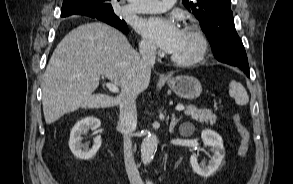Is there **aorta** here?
<instances>
[{"mask_svg":"<svg viewBox=\"0 0 293 184\" xmlns=\"http://www.w3.org/2000/svg\"><path fill=\"white\" fill-rule=\"evenodd\" d=\"M157 145L158 139L155 134H149L142 141L141 159L145 165L149 164L153 160L154 154L157 150ZM147 184H152V182L147 181Z\"/></svg>","mask_w":293,"mask_h":184,"instance_id":"obj_1","label":"aorta"}]
</instances>
